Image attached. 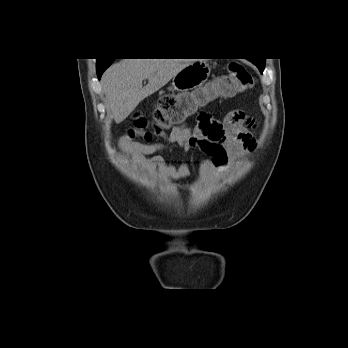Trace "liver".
<instances>
[{
  "mask_svg": "<svg viewBox=\"0 0 348 348\" xmlns=\"http://www.w3.org/2000/svg\"><path fill=\"white\" fill-rule=\"evenodd\" d=\"M193 62L188 59H122L111 65L102 75L101 84L114 121L121 123L143 99ZM145 79L148 83L143 87Z\"/></svg>",
  "mask_w": 348,
  "mask_h": 348,
  "instance_id": "6515ba94",
  "label": "liver"
}]
</instances>
